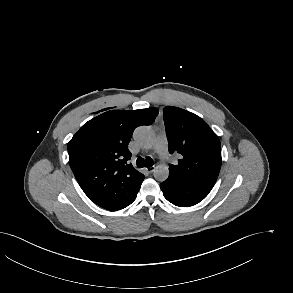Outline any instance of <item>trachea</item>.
Segmentation results:
<instances>
[{
  "label": "trachea",
  "instance_id": "obj_1",
  "mask_svg": "<svg viewBox=\"0 0 293 293\" xmlns=\"http://www.w3.org/2000/svg\"><path fill=\"white\" fill-rule=\"evenodd\" d=\"M153 164H154L153 159L150 157H147L146 159L139 157L136 160V165L140 168L145 167V166H152Z\"/></svg>",
  "mask_w": 293,
  "mask_h": 293
}]
</instances>
